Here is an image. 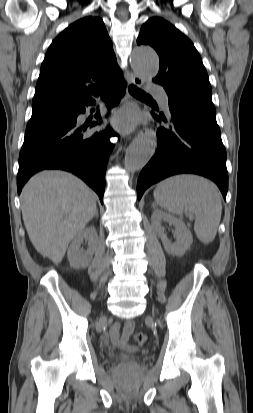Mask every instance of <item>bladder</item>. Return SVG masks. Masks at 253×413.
Segmentation results:
<instances>
[{
  "label": "bladder",
  "mask_w": 253,
  "mask_h": 413,
  "mask_svg": "<svg viewBox=\"0 0 253 413\" xmlns=\"http://www.w3.org/2000/svg\"><path fill=\"white\" fill-rule=\"evenodd\" d=\"M134 358V353L132 351L127 352V353H123V354H119L116 356V359L119 361H130Z\"/></svg>",
  "instance_id": "1"
}]
</instances>
